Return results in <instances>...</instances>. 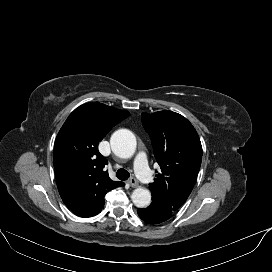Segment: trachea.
<instances>
[{
	"label": "trachea",
	"mask_w": 272,
	"mask_h": 272,
	"mask_svg": "<svg viewBox=\"0 0 272 272\" xmlns=\"http://www.w3.org/2000/svg\"><path fill=\"white\" fill-rule=\"evenodd\" d=\"M116 176L120 180H127L129 178L130 174L127 170L121 168V169L117 170Z\"/></svg>",
	"instance_id": "obj_1"
}]
</instances>
